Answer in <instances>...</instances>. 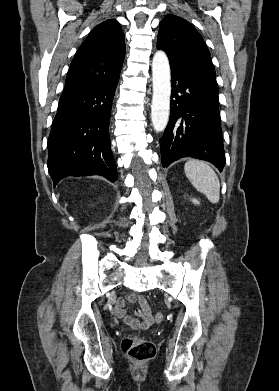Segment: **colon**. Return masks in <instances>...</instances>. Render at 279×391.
Here are the masks:
<instances>
[{
  "label": "colon",
  "instance_id": "colon-1",
  "mask_svg": "<svg viewBox=\"0 0 279 391\" xmlns=\"http://www.w3.org/2000/svg\"><path fill=\"white\" fill-rule=\"evenodd\" d=\"M163 319V314L157 313L155 315V320L157 322H161ZM122 348L130 358L138 362L147 361L156 353L155 345L152 342L141 338H123Z\"/></svg>",
  "mask_w": 279,
  "mask_h": 391
}]
</instances>
